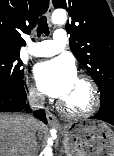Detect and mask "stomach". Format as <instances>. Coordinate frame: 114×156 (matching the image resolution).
<instances>
[{"label": "stomach", "mask_w": 114, "mask_h": 156, "mask_svg": "<svg viewBox=\"0 0 114 156\" xmlns=\"http://www.w3.org/2000/svg\"><path fill=\"white\" fill-rule=\"evenodd\" d=\"M62 134L66 156H114V132L102 121L70 122Z\"/></svg>", "instance_id": "stomach-1"}]
</instances>
